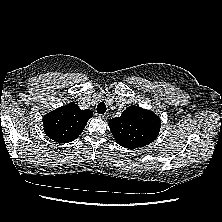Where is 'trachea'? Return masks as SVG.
Returning <instances> with one entry per match:
<instances>
[{"label": "trachea", "mask_w": 222, "mask_h": 222, "mask_svg": "<svg viewBox=\"0 0 222 222\" xmlns=\"http://www.w3.org/2000/svg\"><path fill=\"white\" fill-rule=\"evenodd\" d=\"M106 110H107V107H106V105H105L104 102H100V103L97 105V112H98L99 114H104V113L106 112Z\"/></svg>", "instance_id": "3493384b"}]
</instances>
